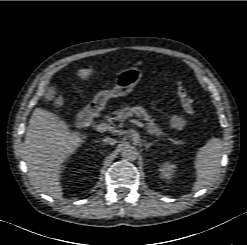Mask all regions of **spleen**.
I'll use <instances>...</instances> for the list:
<instances>
[{"mask_svg":"<svg viewBox=\"0 0 247 245\" xmlns=\"http://www.w3.org/2000/svg\"><path fill=\"white\" fill-rule=\"evenodd\" d=\"M222 156V141L219 138L210 139L196 154L194 166L196 181L193 190L198 191L208 185L216 175Z\"/></svg>","mask_w":247,"mask_h":245,"instance_id":"1","label":"spleen"}]
</instances>
